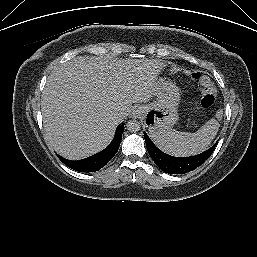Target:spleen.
Here are the masks:
<instances>
[{
	"instance_id": "obj_1",
	"label": "spleen",
	"mask_w": 257,
	"mask_h": 257,
	"mask_svg": "<svg viewBox=\"0 0 257 257\" xmlns=\"http://www.w3.org/2000/svg\"><path fill=\"white\" fill-rule=\"evenodd\" d=\"M222 116L223 111L220 109L216 117L220 120ZM219 127L218 120L212 118L195 133L165 128L151 131L150 136L162 151L170 155L186 157L205 151L215 138Z\"/></svg>"
}]
</instances>
